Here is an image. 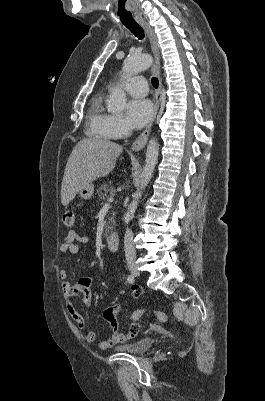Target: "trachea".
Here are the masks:
<instances>
[{
    "mask_svg": "<svg viewBox=\"0 0 265 401\" xmlns=\"http://www.w3.org/2000/svg\"><path fill=\"white\" fill-rule=\"evenodd\" d=\"M130 32H132L139 40H142L144 38V31L143 29L138 25L136 22H131V23H125L124 24ZM152 86L154 88H158V79L157 78H152L151 79Z\"/></svg>",
    "mask_w": 265,
    "mask_h": 401,
    "instance_id": "trachea-1",
    "label": "trachea"
}]
</instances>
